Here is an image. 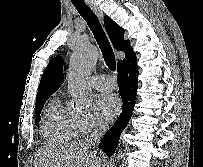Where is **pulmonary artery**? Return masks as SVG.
<instances>
[{"instance_id": "1", "label": "pulmonary artery", "mask_w": 203, "mask_h": 167, "mask_svg": "<svg viewBox=\"0 0 203 167\" xmlns=\"http://www.w3.org/2000/svg\"><path fill=\"white\" fill-rule=\"evenodd\" d=\"M91 84L98 90H112L115 87L113 79L108 75H96L91 78Z\"/></svg>"}]
</instances>
